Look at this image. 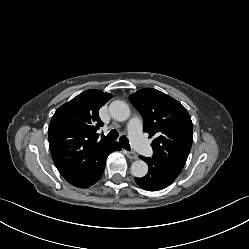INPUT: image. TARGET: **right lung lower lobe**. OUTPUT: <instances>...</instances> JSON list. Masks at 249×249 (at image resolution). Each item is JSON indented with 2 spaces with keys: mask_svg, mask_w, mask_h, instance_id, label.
I'll return each mask as SVG.
<instances>
[{
  "mask_svg": "<svg viewBox=\"0 0 249 249\" xmlns=\"http://www.w3.org/2000/svg\"><path fill=\"white\" fill-rule=\"evenodd\" d=\"M121 147L119 143L114 142L111 146H109L97 159L94 168L90 172V174L86 177V179L77 187L85 188L96 183L102 176L105 163L108 155L113 151H120Z\"/></svg>",
  "mask_w": 249,
  "mask_h": 249,
  "instance_id": "98d812e1",
  "label": "right lung lower lobe"
}]
</instances>
